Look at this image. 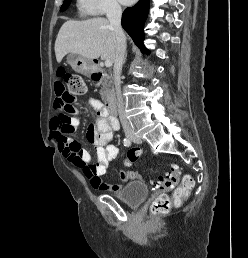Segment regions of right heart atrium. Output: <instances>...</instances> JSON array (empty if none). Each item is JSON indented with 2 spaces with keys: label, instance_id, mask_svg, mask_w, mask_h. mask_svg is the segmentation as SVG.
I'll list each match as a JSON object with an SVG mask.
<instances>
[{
  "label": "right heart atrium",
  "instance_id": "1",
  "mask_svg": "<svg viewBox=\"0 0 248 258\" xmlns=\"http://www.w3.org/2000/svg\"><path fill=\"white\" fill-rule=\"evenodd\" d=\"M78 9L86 16L117 13L121 10L118 0H77Z\"/></svg>",
  "mask_w": 248,
  "mask_h": 258
}]
</instances>
